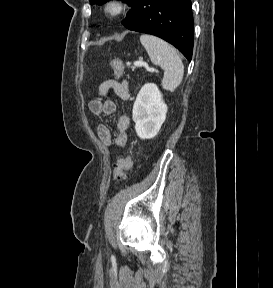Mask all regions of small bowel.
I'll return each instance as SVG.
<instances>
[{
    "label": "small bowel",
    "mask_w": 273,
    "mask_h": 288,
    "mask_svg": "<svg viewBox=\"0 0 273 288\" xmlns=\"http://www.w3.org/2000/svg\"><path fill=\"white\" fill-rule=\"evenodd\" d=\"M113 91L121 100L127 101L130 98V91L126 81L106 80L99 86V93L103 97H107ZM90 112L94 115H111L116 111V104L111 99H94L88 104ZM130 120L127 115H122L117 122V135L113 139L109 127L101 124L97 128V135L100 141L110 146L115 144L118 147H123L128 140V128Z\"/></svg>",
    "instance_id": "small-bowel-1"
}]
</instances>
